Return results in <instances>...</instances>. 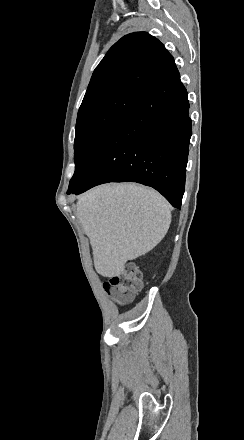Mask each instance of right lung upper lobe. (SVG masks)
<instances>
[{
    "instance_id": "obj_1",
    "label": "right lung upper lobe",
    "mask_w": 244,
    "mask_h": 440,
    "mask_svg": "<svg viewBox=\"0 0 244 440\" xmlns=\"http://www.w3.org/2000/svg\"><path fill=\"white\" fill-rule=\"evenodd\" d=\"M176 72L172 55L158 39L146 32L128 34L96 67L82 104L119 94L141 98Z\"/></svg>"
}]
</instances>
